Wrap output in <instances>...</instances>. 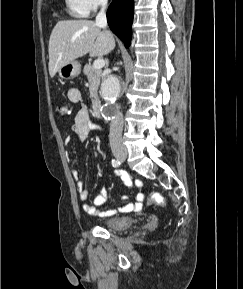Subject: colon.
Returning <instances> with one entry per match:
<instances>
[{"label":"colon","mask_w":243,"mask_h":289,"mask_svg":"<svg viewBox=\"0 0 243 289\" xmlns=\"http://www.w3.org/2000/svg\"><path fill=\"white\" fill-rule=\"evenodd\" d=\"M59 116L64 117L69 114V108L65 104H59L56 107ZM150 204L164 205V198L160 193H153L150 200Z\"/></svg>","instance_id":"obj_1"}]
</instances>
